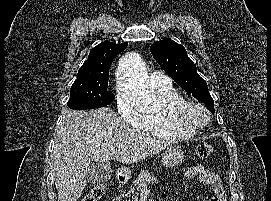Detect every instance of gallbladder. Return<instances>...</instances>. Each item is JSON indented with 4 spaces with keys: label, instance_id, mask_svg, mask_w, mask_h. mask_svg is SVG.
<instances>
[{
    "label": "gallbladder",
    "instance_id": "1",
    "mask_svg": "<svg viewBox=\"0 0 271 201\" xmlns=\"http://www.w3.org/2000/svg\"><path fill=\"white\" fill-rule=\"evenodd\" d=\"M85 175L90 184L106 182L112 175L111 165L108 162L92 163L85 169Z\"/></svg>",
    "mask_w": 271,
    "mask_h": 201
}]
</instances>
